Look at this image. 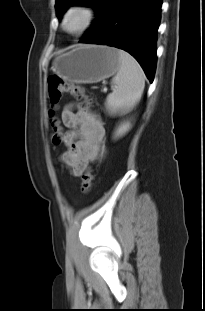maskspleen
Listing matches in <instances>:
<instances>
[{"label": "spleen", "mask_w": 205, "mask_h": 311, "mask_svg": "<svg viewBox=\"0 0 205 311\" xmlns=\"http://www.w3.org/2000/svg\"><path fill=\"white\" fill-rule=\"evenodd\" d=\"M120 67L112 79L115 86L106 98L111 114L127 112L140 100L145 87V74L137 60L124 50H118Z\"/></svg>", "instance_id": "1"}]
</instances>
